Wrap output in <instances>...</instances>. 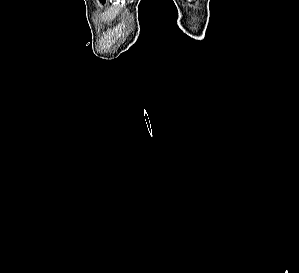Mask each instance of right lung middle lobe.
<instances>
[{"mask_svg": "<svg viewBox=\"0 0 299 273\" xmlns=\"http://www.w3.org/2000/svg\"><path fill=\"white\" fill-rule=\"evenodd\" d=\"M101 2H104L105 0H100Z\"/></svg>", "mask_w": 299, "mask_h": 273, "instance_id": "right-lung-middle-lobe-1", "label": "right lung middle lobe"}]
</instances>
